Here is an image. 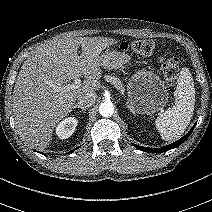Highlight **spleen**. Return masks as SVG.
<instances>
[{"label":"spleen","mask_w":212,"mask_h":212,"mask_svg":"<svg viewBox=\"0 0 212 212\" xmlns=\"http://www.w3.org/2000/svg\"><path fill=\"white\" fill-rule=\"evenodd\" d=\"M175 104L155 120V126L165 141L180 138L188 127L194 112L195 88L188 68L180 71L179 82L174 91Z\"/></svg>","instance_id":"obj_1"}]
</instances>
